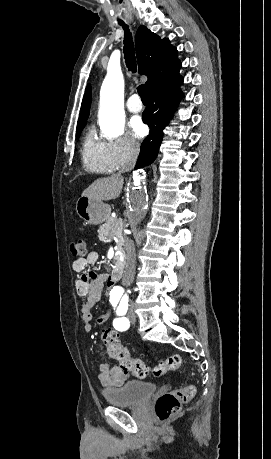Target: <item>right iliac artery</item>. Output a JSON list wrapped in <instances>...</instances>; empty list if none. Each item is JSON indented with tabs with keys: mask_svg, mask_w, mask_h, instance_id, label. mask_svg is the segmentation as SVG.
<instances>
[{
	"mask_svg": "<svg viewBox=\"0 0 271 459\" xmlns=\"http://www.w3.org/2000/svg\"><path fill=\"white\" fill-rule=\"evenodd\" d=\"M112 303H113V302H112ZM114 304H117V301H115Z\"/></svg>",
	"mask_w": 271,
	"mask_h": 459,
	"instance_id": "82829eb1",
	"label": "right iliac artery"
}]
</instances>
